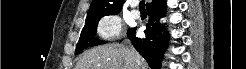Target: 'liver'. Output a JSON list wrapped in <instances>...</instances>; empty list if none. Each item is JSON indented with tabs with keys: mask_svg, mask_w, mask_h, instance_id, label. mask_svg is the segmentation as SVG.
Listing matches in <instances>:
<instances>
[{
	"mask_svg": "<svg viewBox=\"0 0 246 69\" xmlns=\"http://www.w3.org/2000/svg\"><path fill=\"white\" fill-rule=\"evenodd\" d=\"M75 69H148L145 60L132 48L106 44L86 51Z\"/></svg>",
	"mask_w": 246,
	"mask_h": 69,
	"instance_id": "1",
	"label": "liver"
}]
</instances>
